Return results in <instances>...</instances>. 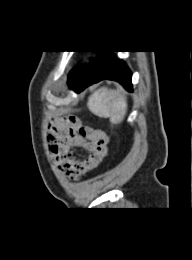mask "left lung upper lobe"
Wrapping results in <instances>:
<instances>
[{"label": "left lung upper lobe", "instance_id": "obj_1", "mask_svg": "<svg viewBox=\"0 0 192 260\" xmlns=\"http://www.w3.org/2000/svg\"><path fill=\"white\" fill-rule=\"evenodd\" d=\"M88 65H83V66H77L75 67L71 73L69 74V79L68 83L70 84V87L76 90L79 82L84 76L85 71L87 70Z\"/></svg>", "mask_w": 192, "mask_h": 260}]
</instances>
